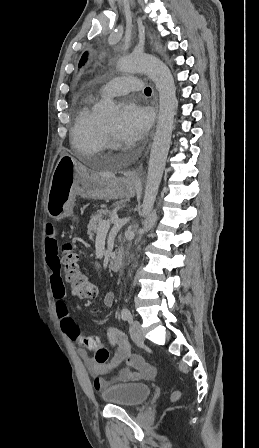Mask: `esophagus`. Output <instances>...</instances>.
I'll list each match as a JSON object with an SVG mask.
<instances>
[{"mask_svg": "<svg viewBox=\"0 0 259 448\" xmlns=\"http://www.w3.org/2000/svg\"><path fill=\"white\" fill-rule=\"evenodd\" d=\"M155 101H157V98L154 99ZM147 154V152H146ZM141 170V166L137 169V170H132L128 173V178L131 179L134 182H138L139 181V171Z\"/></svg>", "mask_w": 259, "mask_h": 448, "instance_id": "34e87169", "label": "esophagus"}]
</instances>
